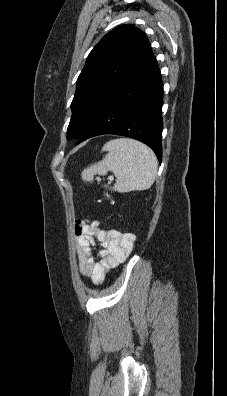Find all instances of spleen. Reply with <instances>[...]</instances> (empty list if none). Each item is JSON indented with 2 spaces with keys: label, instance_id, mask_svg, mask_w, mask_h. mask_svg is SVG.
<instances>
[{
  "label": "spleen",
  "instance_id": "1",
  "mask_svg": "<svg viewBox=\"0 0 227 396\" xmlns=\"http://www.w3.org/2000/svg\"><path fill=\"white\" fill-rule=\"evenodd\" d=\"M102 151L108 154L97 164L83 170L85 182H92L94 175H106L111 171L116 176L113 190L124 193L146 190L152 186L157 175V158L145 144L129 138L107 142Z\"/></svg>",
  "mask_w": 227,
  "mask_h": 396
}]
</instances>
